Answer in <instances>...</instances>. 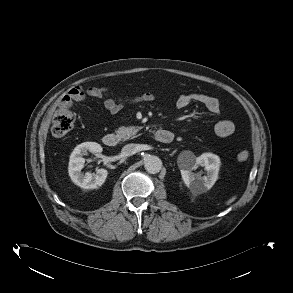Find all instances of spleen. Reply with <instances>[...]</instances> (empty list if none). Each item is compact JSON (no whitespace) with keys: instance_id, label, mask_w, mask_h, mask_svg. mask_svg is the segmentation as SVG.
<instances>
[{"instance_id":"spleen-1","label":"spleen","mask_w":293,"mask_h":293,"mask_svg":"<svg viewBox=\"0 0 293 293\" xmlns=\"http://www.w3.org/2000/svg\"><path fill=\"white\" fill-rule=\"evenodd\" d=\"M234 200H235V197H232V198L227 202V204L232 203Z\"/></svg>"}]
</instances>
